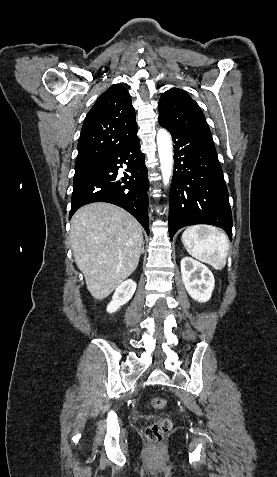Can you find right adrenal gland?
Masks as SVG:
<instances>
[{
    "mask_svg": "<svg viewBox=\"0 0 277 477\" xmlns=\"http://www.w3.org/2000/svg\"><path fill=\"white\" fill-rule=\"evenodd\" d=\"M141 253H144V242H143V246H142V249H141Z\"/></svg>",
    "mask_w": 277,
    "mask_h": 477,
    "instance_id": "2a0ac1e0",
    "label": "right adrenal gland"
}]
</instances>
